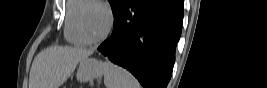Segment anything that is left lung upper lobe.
I'll list each match as a JSON object with an SVG mask.
<instances>
[{
	"label": "left lung upper lobe",
	"instance_id": "obj_1",
	"mask_svg": "<svg viewBox=\"0 0 267 88\" xmlns=\"http://www.w3.org/2000/svg\"><path fill=\"white\" fill-rule=\"evenodd\" d=\"M108 1L111 5L114 19L119 15L124 5L128 2V0H108Z\"/></svg>",
	"mask_w": 267,
	"mask_h": 88
}]
</instances>
